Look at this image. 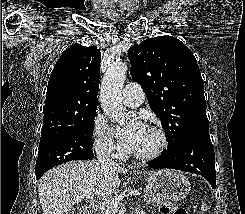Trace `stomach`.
<instances>
[{
  "label": "stomach",
  "mask_w": 245,
  "mask_h": 214,
  "mask_svg": "<svg viewBox=\"0 0 245 214\" xmlns=\"http://www.w3.org/2000/svg\"><path fill=\"white\" fill-rule=\"evenodd\" d=\"M151 190L163 199L179 201L190 192V183L181 172L171 169L144 173Z\"/></svg>",
  "instance_id": "stomach-1"
}]
</instances>
